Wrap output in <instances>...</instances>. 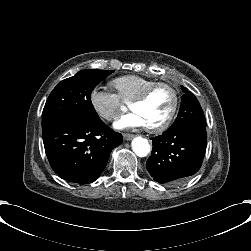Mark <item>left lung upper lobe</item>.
<instances>
[{
    "mask_svg": "<svg viewBox=\"0 0 251 251\" xmlns=\"http://www.w3.org/2000/svg\"><path fill=\"white\" fill-rule=\"evenodd\" d=\"M181 88L184 92L181 107L175 122L167 130L189 124L206 126V119L197 98L187 88L183 86Z\"/></svg>",
    "mask_w": 251,
    "mask_h": 251,
    "instance_id": "obj_1",
    "label": "left lung upper lobe"
}]
</instances>
